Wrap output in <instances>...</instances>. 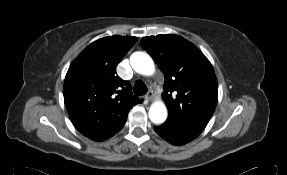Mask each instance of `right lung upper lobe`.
Returning <instances> with one entry per match:
<instances>
[{"instance_id":"1","label":"right lung upper lobe","mask_w":287,"mask_h":175,"mask_svg":"<svg viewBox=\"0 0 287 175\" xmlns=\"http://www.w3.org/2000/svg\"><path fill=\"white\" fill-rule=\"evenodd\" d=\"M137 41L109 36L91 43L71 64L64 82V101L75 128L94 141H103L125 124L130 109L142 100L131 97L128 81L116 66Z\"/></svg>"}]
</instances>
